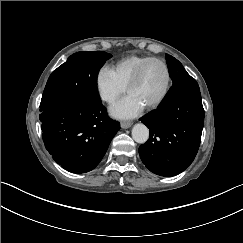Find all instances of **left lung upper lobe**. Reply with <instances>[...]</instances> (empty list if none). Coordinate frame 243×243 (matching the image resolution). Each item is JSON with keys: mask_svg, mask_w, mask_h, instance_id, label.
<instances>
[{"mask_svg": "<svg viewBox=\"0 0 243 243\" xmlns=\"http://www.w3.org/2000/svg\"><path fill=\"white\" fill-rule=\"evenodd\" d=\"M166 62L168 65L170 77L173 81V85L167 93L166 97L177 90H200L196 80L187 73V71L177 59L166 54Z\"/></svg>", "mask_w": 243, "mask_h": 243, "instance_id": "5c2ea615", "label": "left lung upper lobe"}]
</instances>
